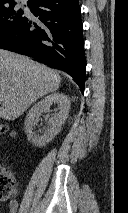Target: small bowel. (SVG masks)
<instances>
[{"instance_id":"1","label":"small bowel","mask_w":128,"mask_h":213,"mask_svg":"<svg viewBox=\"0 0 128 213\" xmlns=\"http://www.w3.org/2000/svg\"><path fill=\"white\" fill-rule=\"evenodd\" d=\"M18 210V202L13 200L9 205V213H17Z\"/></svg>"}]
</instances>
